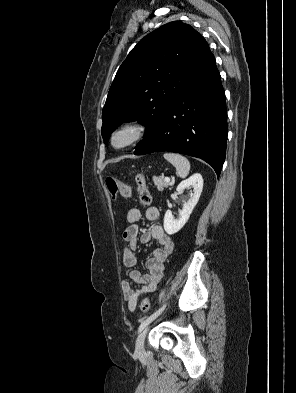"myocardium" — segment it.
<instances>
[{"instance_id": "f54148a6", "label": "myocardium", "mask_w": 296, "mask_h": 393, "mask_svg": "<svg viewBox=\"0 0 296 393\" xmlns=\"http://www.w3.org/2000/svg\"><path fill=\"white\" fill-rule=\"evenodd\" d=\"M148 131V124L141 118H131L125 120L112 130L110 134V144L113 148L118 150L126 149L144 139L148 134ZM123 132L128 133L129 138L125 143L117 145L115 143V138L118 134Z\"/></svg>"}]
</instances>
